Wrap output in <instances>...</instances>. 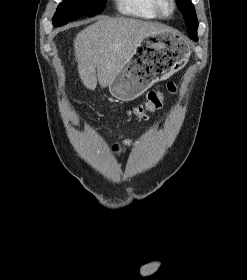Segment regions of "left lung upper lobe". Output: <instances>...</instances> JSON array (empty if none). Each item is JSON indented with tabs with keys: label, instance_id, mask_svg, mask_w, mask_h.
Returning a JSON list of instances; mask_svg holds the SVG:
<instances>
[{
	"label": "left lung upper lobe",
	"instance_id": "left-lung-upper-lobe-1",
	"mask_svg": "<svg viewBox=\"0 0 247 280\" xmlns=\"http://www.w3.org/2000/svg\"><path fill=\"white\" fill-rule=\"evenodd\" d=\"M177 3L185 19L187 31L190 38L194 41H197L198 20L196 17L195 8L191 3V0H177Z\"/></svg>",
	"mask_w": 247,
	"mask_h": 280
}]
</instances>
